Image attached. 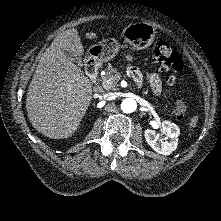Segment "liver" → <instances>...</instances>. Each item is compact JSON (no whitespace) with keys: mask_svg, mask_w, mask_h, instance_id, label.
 Segmentation results:
<instances>
[{"mask_svg":"<svg viewBox=\"0 0 221 221\" xmlns=\"http://www.w3.org/2000/svg\"><path fill=\"white\" fill-rule=\"evenodd\" d=\"M87 39L97 38L87 33ZM84 54L77 29L60 33L42 55L30 82L26 110L32 126L53 139L72 136L92 100V85L65 52Z\"/></svg>","mask_w":221,"mask_h":221,"instance_id":"6515ba94","label":"liver"}]
</instances>
